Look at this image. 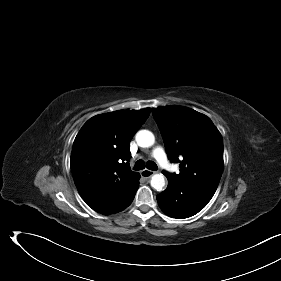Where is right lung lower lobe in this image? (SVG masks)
I'll use <instances>...</instances> for the list:
<instances>
[{"instance_id": "98d812e1", "label": "right lung lower lobe", "mask_w": 281, "mask_h": 281, "mask_svg": "<svg viewBox=\"0 0 281 281\" xmlns=\"http://www.w3.org/2000/svg\"><path fill=\"white\" fill-rule=\"evenodd\" d=\"M133 198H134V197H133ZM132 200H133V199H132ZM132 200H131V202H132ZM131 202H130V203H131ZM130 203H129V205H130ZM129 205H128V206H129Z\"/></svg>"}]
</instances>
